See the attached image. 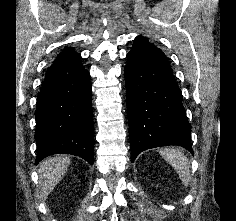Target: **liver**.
Wrapping results in <instances>:
<instances>
[{
	"instance_id": "liver-1",
	"label": "liver",
	"mask_w": 236,
	"mask_h": 221,
	"mask_svg": "<svg viewBox=\"0 0 236 221\" xmlns=\"http://www.w3.org/2000/svg\"><path fill=\"white\" fill-rule=\"evenodd\" d=\"M69 165L70 158L65 155L51 156L40 163L38 173L41 181V200L48 197L67 172Z\"/></svg>"
}]
</instances>
